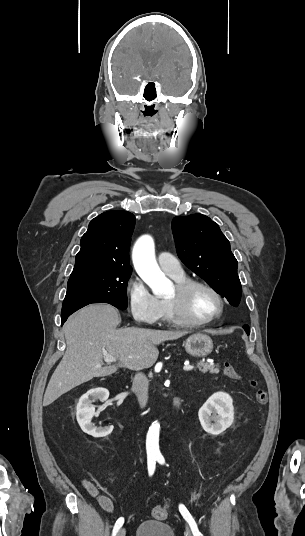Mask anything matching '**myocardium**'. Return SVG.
I'll use <instances>...</instances> for the list:
<instances>
[{
  "label": "myocardium",
  "mask_w": 305,
  "mask_h": 536,
  "mask_svg": "<svg viewBox=\"0 0 305 536\" xmlns=\"http://www.w3.org/2000/svg\"><path fill=\"white\" fill-rule=\"evenodd\" d=\"M196 288H206L219 298L221 302V309L218 315L205 321H192L188 318L186 312V301L189 295ZM166 301L177 321L181 325L189 328H204L216 323L225 315L228 307L226 297L215 286L195 279H188L183 282H178L175 286V294L172 297L167 298Z\"/></svg>",
  "instance_id": "myocardium-1"
}]
</instances>
